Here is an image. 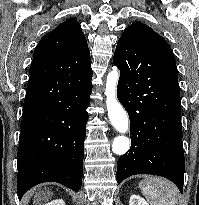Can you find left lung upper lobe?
<instances>
[{
	"label": "left lung upper lobe",
	"mask_w": 199,
	"mask_h": 205,
	"mask_svg": "<svg viewBox=\"0 0 199 205\" xmlns=\"http://www.w3.org/2000/svg\"><path fill=\"white\" fill-rule=\"evenodd\" d=\"M124 33H130L132 35H135L138 39L155 47L157 50L161 52L163 56H165L168 59L170 64L177 71L175 58L170 46L168 45V43L165 41L163 37L157 34L149 26L140 22H134L130 27H128L124 31Z\"/></svg>",
	"instance_id": "5c2ea615"
}]
</instances>
